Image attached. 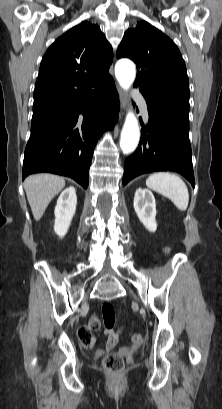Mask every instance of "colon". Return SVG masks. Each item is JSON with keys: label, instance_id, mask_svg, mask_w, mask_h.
Listing matches in <instances>:
<instances>
[{"label": "colon", "instance_id": "colon-1", "mask_svg": "<svg viewBox=\"0 0 222 409\" xmlns=\"http://www.w3.org/2000/svg\"><path fill=\"white\" fill-rule=\"evenodd\" d=\"M102 317L107 329H112L115 323V310L111 303L105 302L102 305ZM78 337L82 342H86L90 338L88 328L86 326L78 329ZM133 343L139 344L142 342V336L138 333L132 335ZM104 368L113 374H119L123 371L125 361L122 355L112 354L107 355L103 359Z\"/></svg>", "mask_w": 222, "mask_h": 409}]
</instances>
